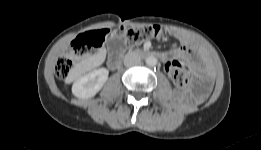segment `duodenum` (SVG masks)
Instances as JSON below:
<instances>
[{"label":"duodenum","mask_w":261,"mask_h":150,"mask_svg":"<svg viewBox=\"0 0 261 150\" xmlns=\"http://www.w3.org/2000/svg\"><path fill=\"white\" fill-rule=\"evenodd\" d=\"M134 55L136 56H144V57H157L158 55L156 53H153V52H149L147 50H143V49H140V50H136L134 52ZM121 61H122V57L121 55L119 54H113L110 56L109 60H108V65L111 69H117L120 64H121Z\"/></svg>","instance_id":"duodenum-1"}]
</instances>
